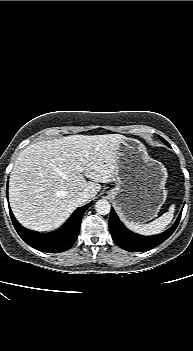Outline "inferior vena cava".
Masks as SVG:
<instances>
[{
    "mask_svg": "<svg viewBox=\"0 0 193 351\" xmlns=\"http://www.w3.org/2000/svg\"><path fill=\"white\" fill-rule=\"evenodd\" d=\"M89 199V193L87 191L79 192L77 195V202L83 204Z\"/></svg>",
    "mask_w": 193,
    "mask_h": 351,
    "instance_id": "602c4592",
    "label": "inferior vena cava"
}]
</instances>
